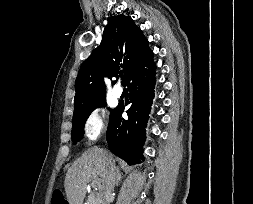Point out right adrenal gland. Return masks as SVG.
<instances>
[{"mask_svg":"<svg viewBox=\"0 0 253 204\" xmlns=\"http://www.w3.org/2000/svg\"><path fill=\"white\" fill-rule=\"evenodd\" d=\"M116 174H117V180H116V186H118L119 182L121 181L122 174L119 171V168H116Z\"/></svg>","mask_w":253,"mask_h":204,"instance_id":"2a0ac1e0","label":"right adrenal gland"}]
</instances>
